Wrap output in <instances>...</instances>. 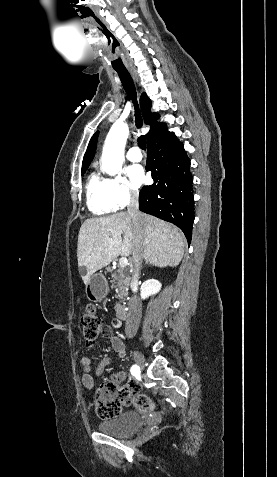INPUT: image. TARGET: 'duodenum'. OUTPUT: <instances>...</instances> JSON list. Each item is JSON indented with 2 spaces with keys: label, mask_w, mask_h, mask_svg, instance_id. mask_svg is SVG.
<instances>
[{
  "label": "duodenum",
  "mask_w": 277,
  "mask_h": 477,
  "mask_svg": "<svg viewBox=\"0 0 277 477\" xmlns=\"http://www.w3.org/2000/svg\"><path fill=\"white\" fill-rule=\"evenodd\" d=\"M116 316L120 321H124L127 318L126 309L122 305L116 307Z\"/></svg>",
  "instance_id": "410a0bca"
}]
</instances>
